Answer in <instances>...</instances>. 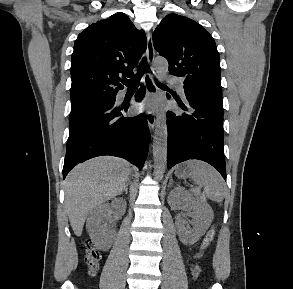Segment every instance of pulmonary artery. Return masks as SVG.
I'll return each mask as SVG.
<instances>
[{"label": "pulmonary artery", "instance_id": "obj_1", "mask_svg": "<svg viewBox=\"0 0 293 289\" xmlns=\"http://www.w3.org/2000/svg\"><path fill=\"white\" fill-rule=\"evenodd\" d=\"M170 81H171L172 83L175 84V86H176L178 92H179L182 96H184V88H183V83H182V81L179 80V79H170Z\"/></svg>", "mask_w": 293, "mask_h": 289}]
</instances>
